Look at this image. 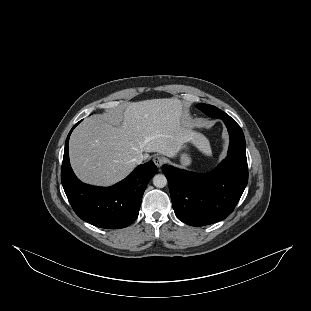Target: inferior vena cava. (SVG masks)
<instances>
[{
	"label": "inferior vena cava",
	"mask_w": 311,
	"mask_h": 311,
	"mask_svg": "<svg viewBox=\"0 0 311 311\" xmlns=\"http://www.w3.org/2000/svg\"><path fill=\"white\" fill-rule=\"evenodd\" d=\"M143 160H144V156L143 155H138L132 161L135 162L136 164H141L143 162Z\"/></svg>",
	"instance_id": "obj_1"
}]
</instances>
